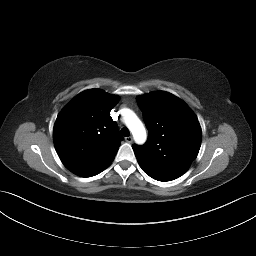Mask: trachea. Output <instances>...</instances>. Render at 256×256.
<instances>
[{
  "label": "trachea",
  "instance_id": "trachea-1",
  "mask_svg": "<svg viewBox=\"0 0 256 256\" xmlns=\"http://www.w3.org/2000/svg\"><path fill=\"white\" fill-rule=\"evenodd\" d=\"M121 135H123L125 137H128L130 135V132H129V130L126 127H123L121 129Z\"/></svg>",
  "mask_w": 256,
  "mask_h": 256
}]
</instances>
